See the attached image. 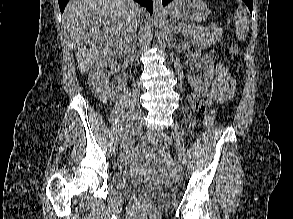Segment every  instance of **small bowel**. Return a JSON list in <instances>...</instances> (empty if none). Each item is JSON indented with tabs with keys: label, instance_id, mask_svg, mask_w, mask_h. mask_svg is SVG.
I'll return each mask as SVG.
<instances>
[{
	"label": "small bowel",
	"instance_id": "1",
	"mask_svg": "<svg viewBox=\"0 0 293 219\" xmlns=\"http://www.w3.org/2000/svg\"><path fill=\"white\" fill-rule=\"evenodd\" d=\"M215 73L216 77L209 91H196L189 95L188 101L193 108L200 110L212 104L222 105L234 95L236 83L229 70L224 65L218 64Z\"/></svg>",
	"mask_w": 293,
	"mask_h": 219
}]
</instances>
